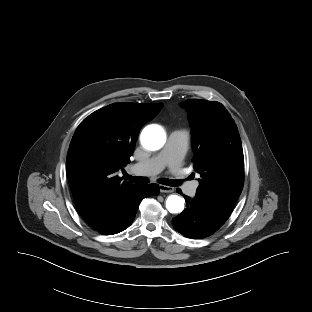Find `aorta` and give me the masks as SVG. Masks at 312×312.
I'll list each match as a JSON object with an SVG mask.
<instances>
[{
    "mask_svg": "<svg viewBox=\"0 0 312 312\" xmlns=\"http://www.w3.org/2000/svg\"><path fill=\"white\" fill-rule=\"evenodd\" d=\"M142 146L150 151L161 149L166 142V133L158 125H149L141 133ZM166 208L170 213H180L184 209V199L178 195H170L166 200Z\"/></svg>",
    "mask_w": 312,
    "mask_h": 312,
    "instance_id": "762f6f07",
    "label": "aorta"
}]
</instances>
